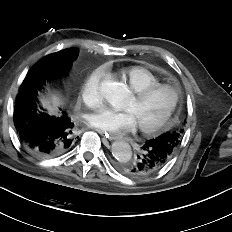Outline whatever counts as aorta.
I'll list each match as a JSON object with an SVG mask.
<instances>
[{
    "label": "aorta",
    "instance_id": "aorta-1",
    "mask_svg": "<svg viewBox=\"0 0 232 232\" xmlns=\"http://www.w3.org/2000/svg\"><path fill=\"white\" fill-rule=\"evenodd\" d=\"M101 90L106 101L116 110L123 109L130 97L126 86L114 80L103 81ZM111 151L112 155L120 162H127L132 157L131 146L123 140L113 142Z\"/></svg>",
    "mask_w": 232,
    "mask_h": 232
}]
</instances>
